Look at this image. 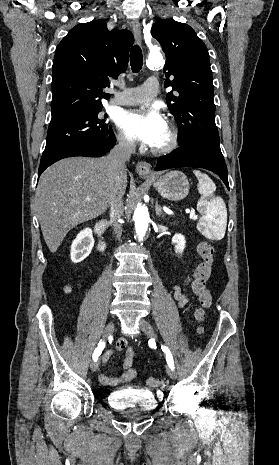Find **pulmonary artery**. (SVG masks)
<instances>
[{
  "label": "pulmonary artery",
  "instance_id": "pulmonary-artery-1",
  "mask_svg": "<svg viewBox=\"0 0 279 465\" xmlns=\"http://www.w3.org/2000/svg\"><path fill=\"white\" fill-rule=\"evenodd\" d=\"M159 85L156 78H148L143 85L116 92L113 102L118 105H135L151 101L158 93Z\"/></svg>",
  "mask_w": 279,
  "mask_h": 465
}]
</instances>
